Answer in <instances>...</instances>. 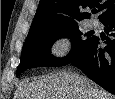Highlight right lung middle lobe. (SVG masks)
<instances>
[{"label":"right lung middle lobe","mask_w":115,"mask_h":99,"mask_svg":"<svg viewBox=\"0 0 115 99\" xmlns=\"http://www.w3.org/2000/svg\"><path fill=\"white\" fill-rule=\"evenodd\" d=\"M78 24H74L49 33L29 36L24 43L21 61L17 68V76L29 68L34 67H59L71 63L84 50L92 39V34L87 33V38L82 39ZM67 37L72 40L73 48L70 54L62 59L51 54V45L59 38Z\"/></svg>","instance_id":"dd1d6c3e"}]
</instances>
